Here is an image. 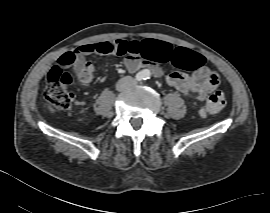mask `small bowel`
<instances>
[{"label":"small bowel","mask_w":270,"mask_h":213,"mask_svg":"<svg viewBox=\"0 0 270 213\" xmlns=\"http://www.w3.org/2000/svg\"><path fill=\"white\" fill-rule=\"evenodd\" d=\"M141 46L151 47L147 58L140 60L135 57H126L124 64L128 70L134 72L141 67H149L155 77L162 75L159 63L175 62L178 67H183L188 62L189 50L186 48H175L169 43L160 40H146L140 43ZM104 43H83L76 49V57L72 65L77 81L87 85L94 80L95 65L86 59L93 54H103ZM103 81V79H101ZM169 86L175 88L186 96H193L202 99L204 96L216 89L218 84L217 75L210 69L202 67L197 69L190 77L180 71L168 74L166 78Z\"/></svg>","instance_id":"1"}]
</instances>
